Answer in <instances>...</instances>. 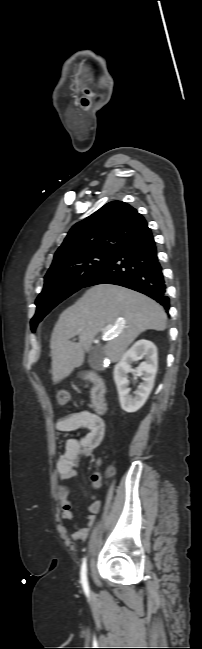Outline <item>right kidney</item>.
I'll return each instance as SVG.
<instances>
[{
  "label": "right kidney",
  "instance_id": "right-kidney-1",
  "mask_svg": "<svg viewBox=\"0 0 202 649\" xmlns=\"http://www.w3.org/2000/svg\"><path fill=\"white\" fill-rule=\"evenodd\" d=\"M140 359H145V361L141 362L136 370L132 369L131 364ZM157 368V348L151 341L138 340L123 354L121 360L115 365L113 376L119 401L124 411L136 412L144 405L154 387ZM129 372L137 373L143 379L134 395H130L131 389L128 387L127 374Z\"/></svg>",
  "mask_w": 202,
  "mask_h": 649
}]
</instances>
